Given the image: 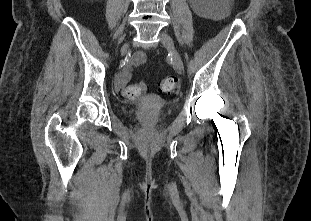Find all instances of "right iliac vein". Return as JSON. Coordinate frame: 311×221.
Masks as SVG:
<instances>
[{
  "mask_svg": "<svg viewBox=\"0 0 311 221\" xmlns=\"http://www.w3.org/2000/svg\"><path fill=\"white\" fill-rule=\"evenodd\" d=\"M128 47H129L128 43H125V44L123 45L122 49H121V52H122V53L126 52L127 49H128Z\"/></svg>",
  "mask_w": 311,
  "mask_h": 221,
  "instance_id": "right-iliac-vein-1",
  "label": "right iliac vein"
}]
</instances>
